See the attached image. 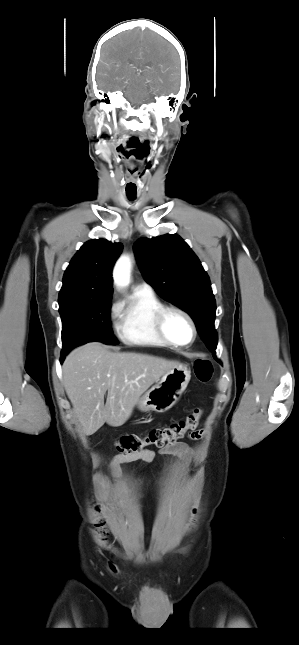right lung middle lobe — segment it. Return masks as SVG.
Wrapping results in <instances>:
<instances>
[{"label":"right lung middle lobe","mask_w":299,"mask_h":645,"mask_svg":"<svg viewBox=\"0 0 299 645\" xmlns=\"http://www.w3.org/2000/svg\"><path fill=\"white\" fill-rule=\"evenodd\" d=\"M110 299L111 296L70 299L59 304L63 343L61 356L65 357L74 347L91 341L117 344L110 327Z\"/></svg>","instance_id":"obj_1"}]
</instances>
